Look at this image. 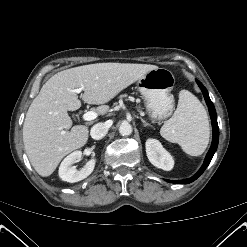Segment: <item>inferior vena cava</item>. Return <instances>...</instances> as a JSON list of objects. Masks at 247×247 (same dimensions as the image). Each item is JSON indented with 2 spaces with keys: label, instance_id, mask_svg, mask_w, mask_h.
Masks as SVG:
<instances>
[{
  "label": "inferior vena cava",
  "instance_id": "obj_1",
  "mask_svg": "<svg viewBox=\"0 0 247 247\" xmlns=\"http://www.w3.org/2000/svg\"><path fill=\"white\" fill-rule=\"evenodd\" d=\"M109 127L107 123H97L91 128L90 135L93 139L100 140L107 134Z\"/></svg>",
  "mask_w": 247,
  "mask_h": 247
}]
</instances>
